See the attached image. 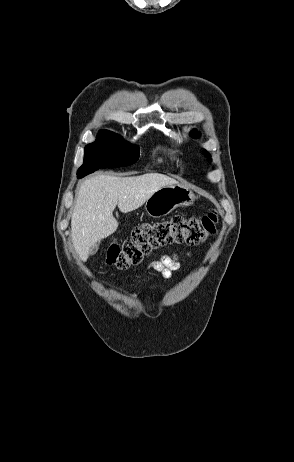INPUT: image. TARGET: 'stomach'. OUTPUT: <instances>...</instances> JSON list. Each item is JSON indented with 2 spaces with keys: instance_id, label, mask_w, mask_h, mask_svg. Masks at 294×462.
Returning <instances> with one entry per match:
<instances>
[{
  "instance_id": "1",
  "label": "stomach",
  "mask_w": 294,
  "mask_h": 462,
  "mask_svg": "<svg viewBox=\"0 0 294 462\" xmlns=\"http://www.w3.org/2000/svg\"><path fill=\"white\" fill-rule=\"evenodd\" d=\"M195 194L179 184L167 185L154 192L145 203L147 214L153 218L168 215L179 206L193 204Z\"/></svg>"
}]
</instances>
